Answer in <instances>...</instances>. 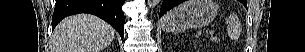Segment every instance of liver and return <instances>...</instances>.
<instances>
[{
  "instance_id": "liver-1",
  "label": "liver",
  "mask_w": 305,
  "mask_h": 52,
  "mask_svg": "<svg viewBox=\"0 0 305 52\" xmlns=\"http://www.w3.org/2000/svg\"><path fill=\"white\" fill-rule=\"evenodd\" d=\"M114 29L94 15L78 14L62 20L53 33V52H101L114 39Z\"/></svg>"
}]
</instances>
